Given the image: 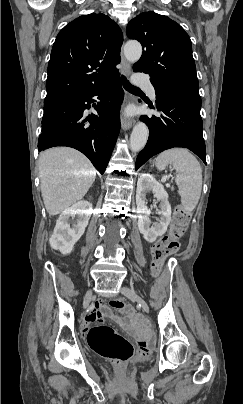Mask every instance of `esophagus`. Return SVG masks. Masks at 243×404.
<instances>
[{
  "instance_id": "1",
  "label": "esophagus",
  "mask_w": 243,
  "mask_h": 404,
  "mask_svg": "<svg viewBox=\"0 0 243 404\" xmlns=\"http://www.w3.org/2000/svg\"><path fill=\"white\" fill-rule=\"evenodd\" d=\"M121 71L124 75H129L130 74V65L126 61V59L123 56V52L121 51ZM121 127L123 130H128L132 127V120L127 119L125 117H121Z\"/></svg>"
}]
</instances>
